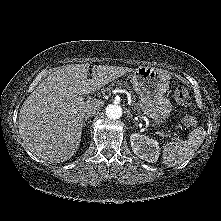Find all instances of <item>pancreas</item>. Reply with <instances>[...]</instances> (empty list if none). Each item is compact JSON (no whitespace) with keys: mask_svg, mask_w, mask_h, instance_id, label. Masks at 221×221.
<instances>
[{"mask_svg":"<svg viewBox=\"0 0 221 221\" xmlns=\"http://www.w3.org/2000/svg\"><path fill=\"white\" fill-rule=\"evenodd\" d=\"M114 86H116L117 88H125V89L129 90V92L131 94L132 101H133V108L138 113H140L139 104L135 102L136 101V96L133 95L132 89L129 86V84L125 81H118V82L112 83V85L108 86L104 91H110Z\"/></svg>","mask_w":221,"mask_h":221,"instance_id":"1","label":"pancreas"}]
</instances>
